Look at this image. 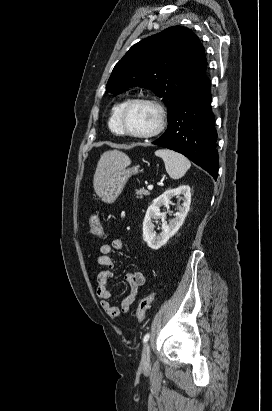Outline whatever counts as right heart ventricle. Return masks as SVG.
<instances>
[{"label": "right heart ventricle", "instance_id": "e07e8e85", "mask_svg": "<svg viewBox=\"0 0 272 411\" xmlns=\"http://www.w3.org/2000/svg\"><path fill=\"white\" fill-rule=\"evenodd\" d=\"M127 100H121L118 103H116L110 112V116L108 119V128L110 129V131L116 135H122L120 127H119V123H118V116H119V112L121 110V108L123 107V105L125 104Z\"/></svg>", "mask_w": 272, "mask_h": 411}]
</instances>
